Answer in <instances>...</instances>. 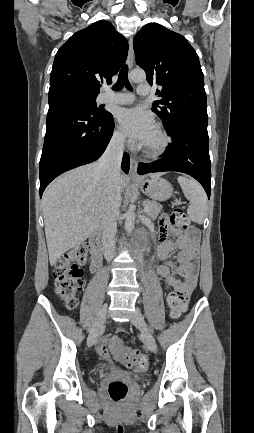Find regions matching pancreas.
Returning a JSON list of instances; mask_svg holds the SVG:
<instances>
[{
	"label": "pancreas",
	"mask_w": 254,
	"mask_h": 433,
	"mask_svg": "<svg viewBox=\"0 0 254 433\" xmlns=\"http://www.w3.org/2000/svg\"><path fill=\"white\" fill-rule=\"evenodd\" d=\"M146 206H149V211L147 212V215L152 219H156L158 214L162 210V206L156 201L147 200Z\"/></svg>",
	"instance_id": "1"
}]
</instances>
